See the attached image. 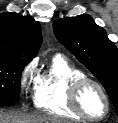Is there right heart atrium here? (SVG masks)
Returning a JSON list of instances; mask_svg holds the SVG:
<instances>
[{"mask_svg": "<svg viewBox=\"0 0 118 123\" xmlns=\"http://www.w3.org/2000/svg\"><path fill=\"white\" fill-rule=\"evenodd\" d=\"M37 64L35 61H31L26 64L20 73V88L23 91H27L30 87H35L36 84Z\"/></svg>", "mask_w": 118, "mask_h": 123, "instance_id": "right-heart-atrium-1", "label": "right heart atrium"}]
</instances>
